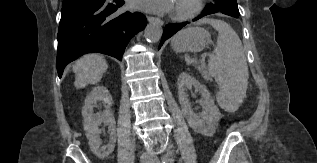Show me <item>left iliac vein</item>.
Here are the masks:
<instances>
[{"mask_svg": "<svg viewBox=\"0 0 317 163\" xmlns=\"http://www.w3.org/2000/svg\"><path fill=\"white\" fill-rule=\"evenodd\" d=\"M171 156H172V152L169 151V153H168V158H169V160H171V161H169V163L172 162ZM151 163H160V162H159V160H158L157 158H154V160H153Z\"/></svg>", "mask_w": 317, "mask_h": 163, "instance_id": "1", "label": "left iliac vein"}]
</instances>
